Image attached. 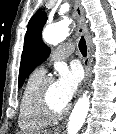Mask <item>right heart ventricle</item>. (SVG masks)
<instances>
[{
    "label": "right heart ventricle",
    "instance_id": "1",
    "mask_svg": "<svg viewBox=\"0 0 116 134\" xmlns=\"http://www.w3.org/2000/svg\"><path fill=\"white\" fill-rule=\"evenodd\" d=\"M44 78V73L37 69L29 75L22 89L19 102L18 124L23 131H41L46 128L51 121L39 115L35 111L32 103L33 93Z\"/></svg>",
    "mask_w": 116,
    "mask_h": 134
}]
</instances>
